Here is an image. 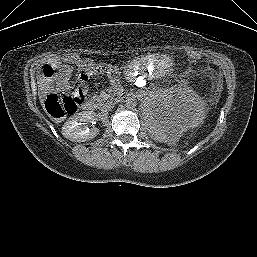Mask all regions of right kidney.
Returning a JSON list of instances; mask_svg holds the SVG:
<instances>
[{
	"label": "right kidney",
	"instance_id": "obj_1",
	"mask_svg": "<svg viewBox=\"0 0 257 257\" xmlns=\"http://www.w3.org/2000/svg\"><path fill=\"white\" fill-rule=\"evenodd\" d=\"M94 118L91 111H83L70 117L62 127V135L73 142H85L95 138L99 130L95 127L88 128L85 122Z\"/></svg>",
	"mask_w": 257,
	"mask_h": 257
}]
</instances>
